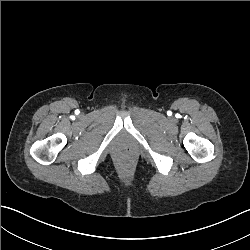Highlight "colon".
<instances>
[{
  "mask_svg": "<svg viewBox=\"0 0 250 250\" xmlns=\"http://www.w3.org/2000/svg\"><path fill=\"white\" fill-rule=\"evenodd\" d=\"M135 170L136 163L132 159H123L117 166V171L121 176L132 175Z\"/></svg>",
  "mask_w": 250,
  "mask_h": 250,
  "instance_id": "colon-1",
  "label": "colon"
}]
</instances>
